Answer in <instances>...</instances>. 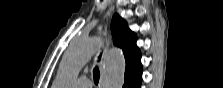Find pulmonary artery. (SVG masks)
Wrapping results in <instances>:
<instances>
[{
    "instance_id": "1",
    "label": "pulmonary artery",
    "mask_w": 223,
    "mask_h": 88,
    "mask_svg": "<svg viewBox=\"0 0 223 88\" xmlns=\"http://www.w3.org/2000/svg\"><path fill=\"white\" fill-rule=\"evenodd\" d=\"M75 84H76L77 87H79V88H89V87H91V85H92L91 81H90L87 77H85V76L80 77V78L76 81Z\"/></svg>"
}]
</instances>
